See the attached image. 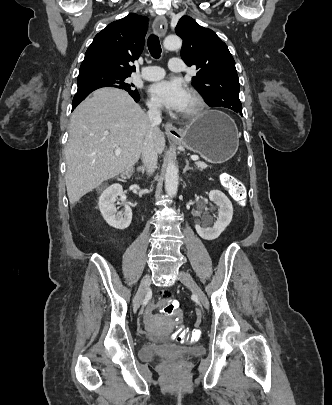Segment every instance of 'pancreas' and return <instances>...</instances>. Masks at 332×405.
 <instances>
[{
  "instance_id": "pancreas-1",
  "label": "pancreas",
  "mask_w": 332,
  "mask_h": 405,
  "mask_svg": "<svg viewBox=\"0 0 332 405\" xmlns=\"http://www.w3.org/2000/svg\"><path fill=\"white\" fill-rule=\"evenodd\" d=\"M196 167L199 170H204L207 167V164H205L204 162H196Z\"/></svg>"
}]
</instances>
